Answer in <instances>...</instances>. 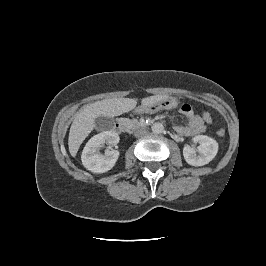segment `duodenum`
I'll return each mask as SVG.
<instances>
[{
    "instance_id": "410a0bca",
    "label": "duodenum",
    "mask_w": 266,
    "mask_h": 266,
    "mask_svg": "<svg viewBox=\"0 0 266 266\" xmlns=\"http://www.w3.org/2000/svg\"><path fill=\"white\" fill-rule=\"evenodd\" d=\"M128 129L126 122L123 119H119L115 123V130L118 133H124Z\"/></svg>"
}]
</instances>
